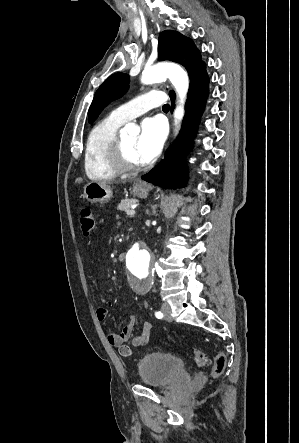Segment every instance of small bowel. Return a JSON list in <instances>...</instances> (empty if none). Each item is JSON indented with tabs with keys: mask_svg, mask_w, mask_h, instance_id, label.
I'll list each match as a JSON object with an SVG mask.
<instances>
[{
	"mask_svg": "<svg viewBox=\"0 0 299 443\" xmlns=\"http://www.w3.org/2000/svg\"><path fill=\"white\" fill-rule=\"evenodd\" d=\"M96 314L99 320H104L107 316V310L103 307H100L97 309ZM136 321V316L132 315L128 323L125 325L120 333L109 332L107 335L109 343L112 346L119 348L120 353L124 356H130L133 352V347H140L145 345L148 342L150 333L153 329L152 323L149 321H145L140 332L136 336L132 337ZM130 339L131 345H128L127 342Z\"/></svg>",
	"mask_w": 299,
	"mask_h": 443,
	"instance_id": "obj_1",
	"label": "small bowel"
}]
</instances>
